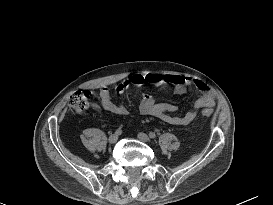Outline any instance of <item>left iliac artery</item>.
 Masks as SVG:
<instances>
[{"instance_id":"obj_1","label":"left iliac artery","mask_w":273,"mask_h":205,"mask_svg":"<svg viewBox=\"0 0 273 205\" xmlns=\"http://www.w3.org/2000/svg\"><path fill=\"white\" fill-rule=\"evenodd\" d=\"M149 137L152 138V139H155L156 138V134L154 132H150L149 133Z\"/></svg>"}]
</instances>
